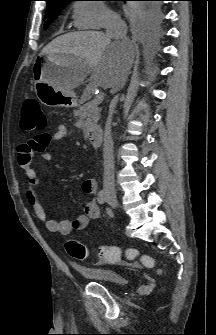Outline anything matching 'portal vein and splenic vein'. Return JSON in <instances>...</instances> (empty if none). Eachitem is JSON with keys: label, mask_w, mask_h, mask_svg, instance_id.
Instances as JSON below:
<instances>
[{"label": "portal vein and splenic vein", "mask_w": 216, "mask_h": 335, "mask_svg": "<svg viewBox=\"0 0 216 335\" xmlns=\"http://www.w3.org/2000/svg\"><path fill=\"white\" fill-rule=\"evenodd\" d=\"M103 99H104V94L99 93L98 95L94 97L93 101L90 103V107L98 105L99 103L103 101Z\"/></svg>", "instance_id": "obj_1"}]
</instances>
